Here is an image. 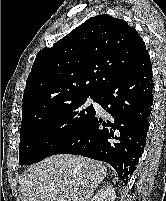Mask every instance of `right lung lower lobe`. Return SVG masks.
Returning <instances> with one entry per match:
<instances>
[{
    "label": "right lung lower lobe",
    "mask_w": 166,
    "mask_h": 201,
    "mask_svg": "<svg viewBox=\"0 0 166 201\" xmlns=\"http://www.w3.org/2000/svg\"><path fill=\"white\" fill-rule=\"evenodd\" d=\"M150 56L106 84L95 102L107 112L95 114L54 154H74L105 161L125 184L141 157L153 103Z\"/></svg>",
    "instance_id": "1"
}]
</instances>
